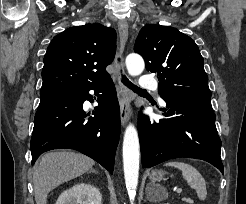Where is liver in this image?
<instances>
[{
  "label": "liver",
  "instance_id": "liver-1",
  "mask_svg": "<svg viewBox=\"0 0 246 204\" xmlns=\"http://www.w3.org/2000/svg\"><path fill=\"white\" fill-rule=\"evenodd\" d=\"M94 164L91 158L73 151L45 153L33 173L36 204H46L47 196L52 189L82 175Z\"/></svg>",
  "mask_w": 246,
  "mask_h": 204
}]
</instances>
